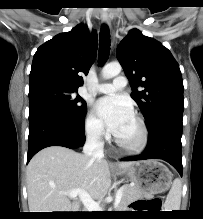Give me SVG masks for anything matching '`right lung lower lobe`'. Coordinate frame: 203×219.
I'll return each mask as SVG.
<instances>
[{
	"mask_svg": "<svg viewBox=\"0 0 203 219\" xmlns=\"http://www.w3.org/2000/svg\"><path fill=\"white\" fill-rule=\"evenodd\" d=\"M84 119L85 116L70 119L41 107L29 109L27 163L38 151L49 146L81 147L85 142Z\"/></svg>",
	"mask_w": 203,
	"mask_h": 219,
	"instance_id": "obj_1",
	"label": "right lung lower lobe"
}]
</instances>
